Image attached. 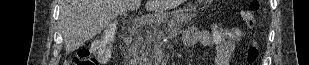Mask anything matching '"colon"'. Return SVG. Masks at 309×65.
<instances>
[{
  "label": "colon",
  "mask_w": 309,
  "mask_h": 65,
  "mask_svg": "<svg viewBox=\"0 0 309 65\" xmlns=\"http://www.w3.org/2000/svg\"><path fill=\"white\" fill-rule=\"evenodd\" d=\"M258 4L252 2L250 6L241 12L242 22L246 26H253L257 19ZM221 31V30H216ZM234 35L233 33H230ZM116 39V29L112 26L104 30L103 36L93 42L89 48L79 52L75 64L77 65H101L111 57L112 46ZM259 60V47L252 44L247 51V64L256 65Z\"/></svg>",
  "instance_id": "5ec220e1"
}]
</instances>
